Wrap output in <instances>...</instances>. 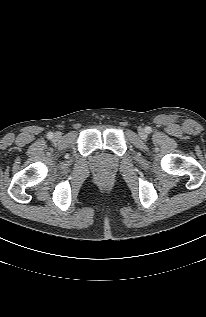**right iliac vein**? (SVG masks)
<instances>
[{
  "instance_id": "right-iliac-vein-1",
  "label": "right iliac vein",
  "mask_w": 206,
  "mask_h": 317,
  "mask_svg": "<svg viewBox=\"0 0 206 317\" xmlns=\"http://www.w3.org/2000/svg\"><path fill=\"white\" fill-rule=\"evenodd\" d=\"M55 136H56V138H59V134L58 133Z\"/></svg>"
}]
</instances>
